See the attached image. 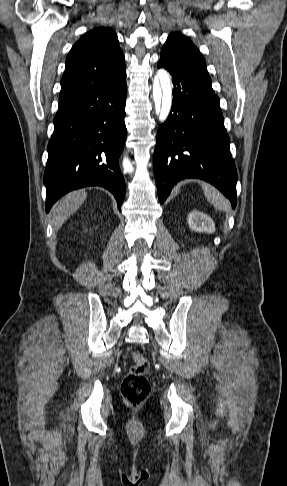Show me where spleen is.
Returning <instances> with one entry per match:
<instances>
[{"instance_id": "1", "label": "spleen", "mask_w": 287, "mask_h": 486, "mask_svg": "<svg viewBox=\"0 0 287 486\" xmlns=\"http://www.w3.org/2000/svg\"><path fill=\"white\" fill-rule=\"evenodd\" d=\"M202 189L208 201L214 205L215 209L228 211L229 201L213 186L208 183H202Z\"/></svg>"}]
</instances>
